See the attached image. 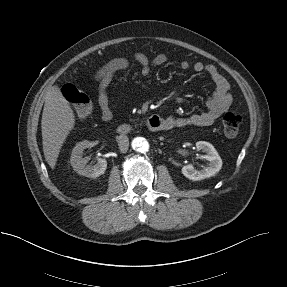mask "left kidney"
<instances>
[{
	"mask_svg": "<svg viewBox=\"0 0 287 287\" xmlns=\"http://www.w3.org/2000/svg\"><path fill=\"white\" fill-rule=\"evenodd\" d=\"M196 148L206 153L203 158L209 161L208 166L196 170L192 165H185L182 168V174L192 181H200L215 176L222 167V159L214 146L205 141H198Z\"/></svg>",
	"mask_w": 287,
	"mask_h": 287,
	"instance_id": "left-kidney-1",
	"label": "left kidney"
}]
</instances>
